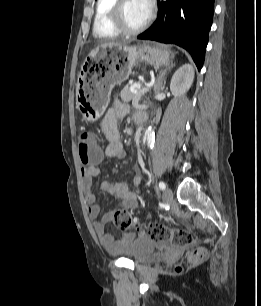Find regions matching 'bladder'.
Masks as SVG:
<instances>
[{"instance_id":"31cf9c89","label":"bladder","mask_w":261,"mask_h":306,"mask_svg":"<svg viewBox=\"0 0 261 306\" xmlns=\"http://www.w3.org/2000/svg\"><path fill=\"white\" fill-rule=\"evenodd\" d=\"M124 256L137 265H146L157 260L156 244L141 239L137 241Z\"/></svg>"}]
</instances>
